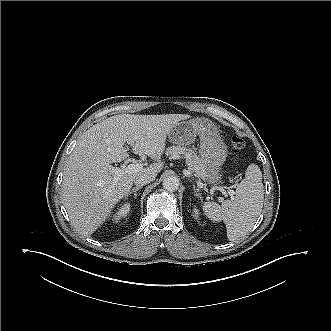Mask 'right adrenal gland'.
<instances>
[{"mask_svg":"<svg viewBox=\"0 0 331 331\" xmlns=\"http://www.w3.org/2000/svg\"><path fill=\"white\" fill-rule=\"evenodd\" d=\"M141 189V187L139 186H136L132 189V191L129 193V195L133 194L134 195V198L136 199L137 198V191H139Z\"/></svg>","mask_w":331,"mask_h":331,"instance_id":"2a0ac1e0","label":"right adrenal gland"}]
</instances>
